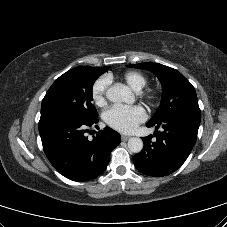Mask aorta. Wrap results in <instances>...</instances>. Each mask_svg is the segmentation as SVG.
Instances as JSON below:
<instances>
[{"label": "aorta", "mask_w": 227, "mask_h": 227, "mask_svg": "<svg viewBox=\"0 0 227 227\" xmlns=\"http://www.w3.org/2000/svg\"><path fill=\"white\" fill-rule=\"evenodd\" d=\"M106 97L113 103L126 102L131 98V91L124 85H113L106 91ZM128 149L133 153H139L143 149V141L138 137L128 140Z\"/></svg>", "instance_id": "obj_1"}]
</instances>
